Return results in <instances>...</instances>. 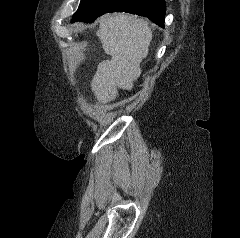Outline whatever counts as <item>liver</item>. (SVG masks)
I'll return each instance as SVG.
<instances>
[{"label":"liver","mask_w":240,"mask_h":238,"mask_svg":"<svg viewBox=\"0 0 240 238\" xmlns=\"http://www.w3.org/2000/svg\"><path fill=\"white\" fill-rule=\"evenodd\" d=\"M96 34L111 60L99 63L91 89L100 103H107L115 99L119 88L132 89L141 73L139 64L148 54L152 31L144 19L121 13L100 17Z\"/></svg>","instance_id":"6515ba94"}]
</instances>
